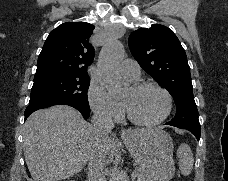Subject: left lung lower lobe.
<instances>
[{
	"label": "left lung lower lobe",
	"mask_w": 228,
	"mask_h": 181,
	"mask_svg": "<svg viewBox=\"0 0 228 181\" xmlns=\"http://www.w3.org/2000/svg\"><path fill=\"white\" fill-rule=\"evenodd\" d=\"M186 130L190 131L197 138V140L200 139L201 128L189 127Z\"/></svg>",
	"instance_id": "1"
}]
</instances>
